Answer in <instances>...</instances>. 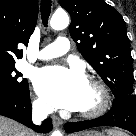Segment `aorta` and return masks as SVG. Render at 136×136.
<instances>
[{
    "label": "aorta",
    "mask_w": 136,
    "mask_h": 136,
    "mask_svg": "<svg viewBox=\"0 0 136 136\" xmlns=\"http://www.w3.org/2000/svg\"><path fill=\"white\" fill-rule=\"evenodd\" d=\"M69 24V16L65 11L55 12L50 20V26L54 30L65 29ZM51 136H62V133L59 130H56L52 133Z\"/></svg>",
    "instance_id": "1"
}]
</instances>
